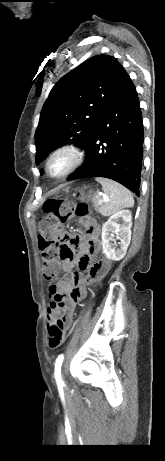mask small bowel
I'll list each match as a JSON object with an SVG mask.
<instances>
[{
    "mask_svg": "<svg viewBox=\"0 0 165 461\" xmlns=\"http://www.w3.org/2000/svg\"><path fill=\"white\" fill-rule=\"evenodd\" d=\"M80 223L86 229L87 240L84 242V234H71L70 237H66V245H71L72 249L78 252L59 251L60 260H54L53 264L57 273L62 270L65 274L58 282L49 286L52 300L47 308V318L51 323L62 312L64 328L71 325L76 305L86 295V285L104 275L108 269V264L106 268L101 269L92 262V256L100 249V232L96 222L91 219H81ZM76 264L82 271L87 272L86 276L79 272L71 273Z\"/></svg>",
    "mask_w": 165,
    "mask_h": 461,
    "instance_id": "obj_1",
    "label": "small bowel"
}]
</instances>
